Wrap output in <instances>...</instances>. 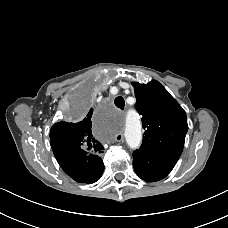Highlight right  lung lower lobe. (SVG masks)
I'll list each match as a JSON object with an SVG mask.
<instances>
[{"label":"right lung lower lobe","instance_id":"1","mask_svg":"<svg viewBox=\"0 0 228 228\" xmlns=\"http://www.w3.org/2000/svg\"><path fill=\"white\" fill-rule=\"evenodd\" d=\"M79 160V155L75 153L57 158V161L62 169L77 182L93 183L102 176L104 165L102 159L98 155L86 156L84 161H86L87 164H93L91 167L89 166V168L84 170L77 168L76 163Z\"/></svg>","mask_w":228,"mask_h":228}]
</instances>
